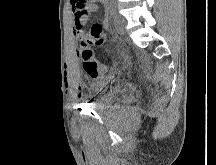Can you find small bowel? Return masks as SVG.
<instances>
[{
	"label": "small bowel",
	"instance_id": "small-bowel-1",
	"mask_svg": "<svg viewBox=\"0 0 216 165\" xmlns=\"http://www.w3.org/2000/svg\"><path fill=\"white\" fill-rule=\"evenodd\" d=\"M98 2L105 3L106 0H86V5H76V8H74V6L72 5V11H73L72 36H73L74 41L80 40L81 42H84L87 40L88 36L84 30V27L86 23L88 22L90 15L97 11ZM102 24L104 26L108 25L107 16H104L102 18ZM84 69L89 76L91 77L98 76V74L88 70L85 67V65H84ZM79 98H80V95H79Z\"/></svg>",
	"mask_w": 216,
	"mask_h": 165
}]
</instances>
